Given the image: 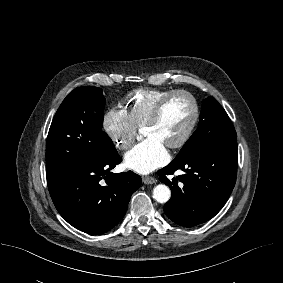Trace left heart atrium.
<instances>
[{
    "mask_svg": "<svg viewBox=\"0 0 283 283\" xmlns=\"http://www.w3.org/2000/svg\"><path fill=\"white\" fill-rule=\"evenodd\" d=\"M169 158L166 146L155 138H146L124 157L125 166L147 174L164 165Z\"/></svg>",
    "mask_w": 283,
    "mask_h": 283,
    "instance_id": "1",
    "label": "left heart atrium"
}]
</instances>
